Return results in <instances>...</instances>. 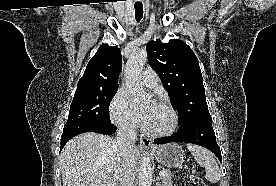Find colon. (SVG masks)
I'll list each match as a JSON object with an SVG mask.
<instances>
[{"mask_svg": "<svg viewBox=\"0 0 276 186\" xmlns=\"http://www.w3.org/2000/svg\"><path fill=\"white\" fill-rule=\"evenodd\" d=\"M175 186H205L203 180L197 176L178 172L174 176Z\"/></svg>", "mask_w": 276, "mask_h": 186, "instance_id": "obj_1", "label": "colon"}]
</instances>
